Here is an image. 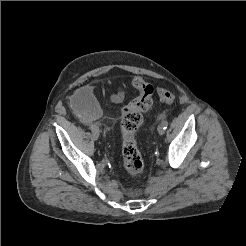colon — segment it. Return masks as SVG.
Instances as JSON below:
<instances>
[{"instance_id": "1", "label": "colon", "mask_w": 246, "mask_h": 246, "mask_svg": "<svg viewBox=\"0 0 246 246\" xmlns=\"http://www.w3.org/2000/svg\"><path fill=\"white\" fill-rule=\"evenodd\" d=\"M133 86L139 91V95L130 102L122 111V155L126 171L133 176L143 172L144 161L138 150L135 134L143 123V115L153 104L154 88L141 77H135ZM159 99L166 104H173L175 96L164 87L156 88Z\"/></svg>"}]
</instances>
